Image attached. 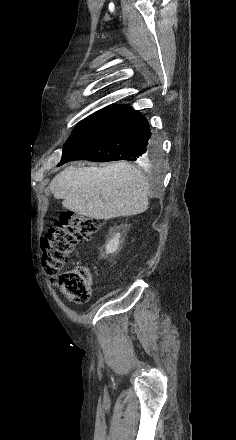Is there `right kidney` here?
Returning <instances> with one entry per match:
<instances>
[{
    "label": "right kidney",
    "instance_id": "obj_1",
    "mask_svg": "<svg viewBox=\"0 0 236 440\" xmlns=\"http://www.w3.org/2000/svg\"><path fill=\"white\" fill-rule=\"evenodd\" d=\"M120 233H117L106 245V254L114 253L117 251L120 243Z\"/></svg>",
    "mask_w": 236,
    "mask_h": 440
}]
</instances>
